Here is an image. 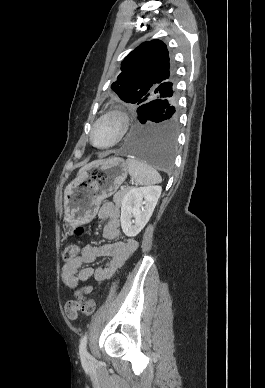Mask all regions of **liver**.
Segmentation results:
<instances>
[{"mask_svg": "<svg viewBox=\"0 0 265 388\" xmlns=\"http://www.w3.org/2000/svg\"><path fill=\"white\" fill-rule=\"evenodd\" d=\"M107 156V154H105ZM99 162H102V160H96V162H91V164H86L84 168H81L80 172H84V170H88V168H93V166H96V164H99Z\"/></svg>", "mask_w": 265, "mask_h": 388, "instance_id": "obj_1", "label": "liver"}]
</instances>
